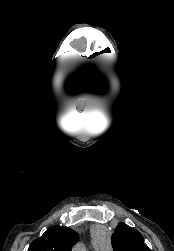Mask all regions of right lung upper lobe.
I'll return each instance as SVG.
<instances>
[{
	"mask_svg": "<svg viewBox=\"0 0 174 251\" xmlns=\"http://www.w3.org/2000/svg\"><path fill=\"white\" fill-rule=\"evenodd\" d=\"M78 241V235L70 228L53 226L34 240L28 251H71Z\"/></svg>",
	"mask_w": 174,
	"mask_h": 251,
	"instance_id": "obj_1",
	"label": "right lung upper lobe"
}]
</instances>
